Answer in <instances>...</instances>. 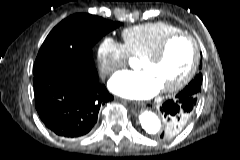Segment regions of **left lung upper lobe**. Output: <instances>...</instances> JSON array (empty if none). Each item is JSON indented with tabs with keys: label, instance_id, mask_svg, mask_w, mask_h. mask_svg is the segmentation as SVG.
I'll return each instance as SVG.
<instances>
[{
	"label": "left lung upper lobe",
	"instance_id": "1",
	"mask_svg": "<svg viewBox=\"0 0 240 160\" xmlns=\"http://www.w3.org/2000/svg\"><path fill=\"white\" fill-rule=\"evenodd\" d=\"M201 83H202V75L201 73H199L195 78L194 80H192L188 86L186 88H189V87H193L195 90L194 92L196 94H199V92L201 91ZM193 112L192 113H189V114H185L183 116H181V119L179 120V123H183V124H187V122L189 121V119L191 118ZM184 128V127H183ZM182 127L174 130V131H170L169 130V126H168V123L166 121V127H165V130H163V132L160 134V138L163 139V138H170V137H173L175 136L176 134H178L182 129Z\"/></svg>",
	"mask_w": 240,
	"mask_h": 160
}]
</instances>
